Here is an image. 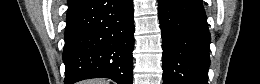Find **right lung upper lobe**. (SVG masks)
<instances>
[{"instance_id": "obj_1", "label": "right lung upper lobe", "mask_w": 260, "mask_h": 84, "mask_svg": "<svg viewBox=\"0 0 260 84\" xmlns=\"http://www.w3.org/2000/svg\"><path fill=\"white\" fill-rule=\"evenodd\" d=\"M81 0H69V7L68 8H70V7H72V6H74V5H76L77 3H79Z\"/></svg>"}]
</instances>
